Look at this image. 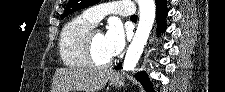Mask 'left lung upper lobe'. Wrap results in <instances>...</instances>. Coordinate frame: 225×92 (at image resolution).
<instances>
[{"mask_svg":"<svg viewBox=\"0 0 225 92\" xmlns=\"http://www.w3.org/2000/svg\"><path fill=\"white\" fill-rule=\"evenodd\" d=\"M100 0H70L65 8V11L62 15V19L68 16L69 14L86 8L90 5L98 3Z\"/></svg>","mask_w":225,"mask_h":92,"instance_id":"5c2ea615","label":"left lung upper lobe"}]
</instances>
